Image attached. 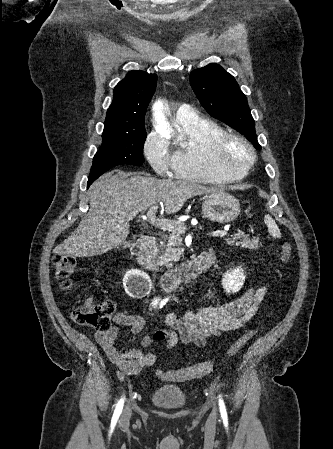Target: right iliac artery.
<instances>
[{
  "label": "right iliac artery",
  "instance_id": "obj_1",
  "mask_svg": "<svg viewBox=\"0 0 333 449\" xmlns=\"http://www.w3.org/2000/svg\"><path fill=\"white\" fill-rule=\"evenodd\" d=\"M167 301H168V299H165L164 301H162L161 302V307L163 305H165ZM157 303H158V300L156 299L155 301L152 302V306L157 305ZM123 405H124V398H121L120 401L116 405V408H115V411H114V414H113V417H112V425L116 424V422H117V420H118V418H119V416H120V414L122 412Z\"/></svg>",
  "mask_w": 333,
  "mask_h": 449
}]
</instances>
